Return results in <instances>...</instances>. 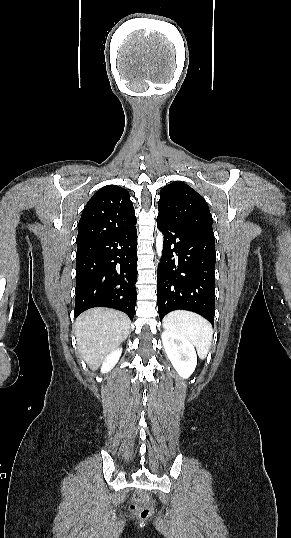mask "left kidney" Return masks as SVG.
Instances as JSON below:
<instances>
[{
    "mask_svg": "<svg viewBox=\"0 0 291 538\" xmlns=\"http://www.w3.org/2000/svg\"><path fill=\"white\" fill-rule=\"evenodd\" d=\"M161 338L166 355L179 376L190 377L197 365L193 344L186 337L170 331H164Z\"/></svg>",
    "mask_w": 291,
    "mask_h": 538,
    "instance_id": "1",
    "label": "left kidney"
}]
</instances>
